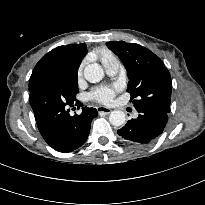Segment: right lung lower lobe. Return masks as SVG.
Masks as SVG:
<instances>
[{
	"mask_svg": "<svg viewBox=\"0 0 205 205\" xmlns=\"http://www.w3.org/2000/svg\"><path fill=\"white\" fill-rule=\"evenodd\" d=\"M65 76L48 79L30 91L29 101L38 129L56 151L71 152L84 144L90 124L98 114L95 108L83 107L80 115L70 116L68 109L82 106Z\"/></svg>",
	"mask_w": 205,
	"mask_h": 205,
	"instance_id": "obj_1",
	"label": "right lung lower lobe"
}]
</instances>
